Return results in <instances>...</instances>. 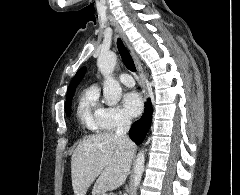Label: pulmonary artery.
<instances>
[{"mask_svg":"<svg viewBox=\"0 0 240 195\" xmlns=\"http://www.w3.org/2000/svg\"><path fill=\"white\" fill-rule=\"evenodd\" d=\"M120 80L122 83H124L125 85H132L134 83L133 79L130 77V75H124L121 74L120 75Z\"/></svg>","mask_w":240,"mask_h":195,"instance_id":"1","label":"pulmonary artery"}]
</instances>
